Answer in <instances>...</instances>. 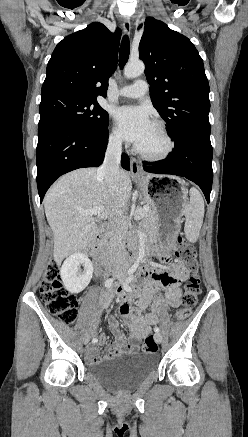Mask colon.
<instances>
[{
	"instance_id": "1",
	"label": "colon",
	"mask_w": 248,
	"mask_h": 437,
	"mask_svg": "<svg viewBox=\"0 0 248 437\" xmlns=\"http://www.w3.org/2000/svg\"><path fill=\"white\" fill-rule=\"evenodd\" d=\"M173 246L177 258L190 270L191 275L186 285L182 298V306L176 311L178 320H185L191 313L198 301L200 289V276L196 250L192 244L181 236L173 239ZM41 299L47 310L57 316L64 323L71 325L77 318L78 300L75 295L69 293L61 279L60 266L56 262L49 264L47 271L39 287ZM143 352H156L158 344L152 335L145 338L142 346Z\"/></svg>"
}]
</instances>
